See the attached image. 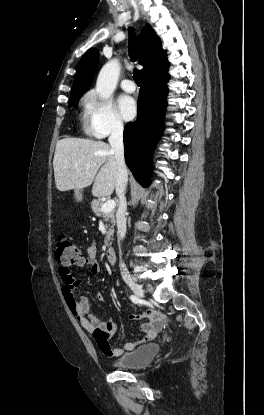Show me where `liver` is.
I'll return each mask as SVG.
<instances>
[{
    "label": "liver",
    "instance_id": "6515ba94",
    "mask_svg": "<svg viewBox=\"0 0 264 415\" xmlns=\"http://www.w3.org/2000/svg\"><path fill=\"white\" fill-rule=\"evenodd\" d=\"M54 176L59 191L83 189L93 182L95 197L110 196L116 186L117 163L109 144L82 138L57 142Z\"/></svg>",
    "mask_w": 264,
    "mask_h": 415
}]
</instances>
